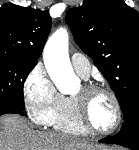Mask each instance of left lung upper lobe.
<instances>
[{"mask_svg": "<svg viewBox=\"0 0 139 150\" xmlns=\"http://www.w3.org/2000/svg\"><path fill=\"white\" fill-rule=\"evenodd\" d=\"M66 22L108 80L125 119L139 104V13L123 0H86L67 11Z\"/></svg>", "mask_w": 139, "mask_h": 150, "instance_id": "obj_1", "label": "left lung upper lobe"}]
</instances>
